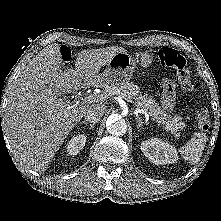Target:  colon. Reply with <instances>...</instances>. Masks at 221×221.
Instances as JSON below:
<instances>
[{"label": "colon", "instance_id": "colon-1", "mask_svg": "<svg viewBox=\"0 0 221 221\" xmlns=\"http://www.w3.org/2000/svg\"><path fill=\"white\" fill-rule=\"evenodd\" d=\"M70 51L66 48L61 50V57L64 62L69 61L70 59ZM158 61L167 67H171L176 70L177 79L180 84L181 89L187 93L192 94L194 91V86L191 81V74L188 68L187 59L180 54L177 50L164 47L160 49L157 53ZM163 93L174 91L173 83L164 79L162 82ZM197 121L198 127L202 131L209 130L211 126L210 114L206 107H201L197 111Z\"/></svg>", "mask_w": 221, "mask_h": 221}]
</instances>
